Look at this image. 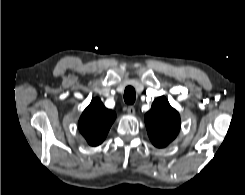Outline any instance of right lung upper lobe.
Instances as JSON below:
<instances>
[{
  "label": "right lung upper lobe",
  "mask_w": 245,
  "mask_h": 195,
  "mask_svg": "<svg viewBox=\"0 0 245 195\" xmlns=\"http://www.w3.org/2000/svg\"><path fill=\"white\" fill-rule=\"evenodd\" d=\"M116 118L114 111L105 108L98 98H94L79 119V130L89 145L101 144Z\"/></svg>",
  "instance_id": "cb5924a9"
}]
</instances>
